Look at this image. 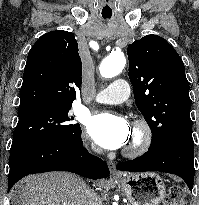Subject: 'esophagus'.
Here are the masks:
<instances>
[{
	"label": "esophagus",
	"mask_w": 199,
	"mask_h": 205,
	"mask_svg": "<svg viewBox=\"0 0 199 205\" xmlns=\"http://www.w3.org/2000/svg\"><path fill=\"white\" fill-rule=\"evenodd\" d=\"M108 166L113 177H121V173L116 170V165L114 162L109 161Z\"/></svg>",
	"instance_id": "esophagus-1"
}]
</instances>
